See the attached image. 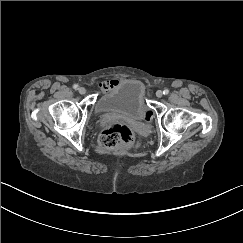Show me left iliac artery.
I'll use <instances>...</instances> for the list:
<instances>
[{
	"label": "left iliac artery",
	"instance_id": "left-iliac-artery-1",
	"mask_svg": "<svg viewBox=\"0 0 243 243\" xmlns=\"http://www.w3.org/2000/svg\"><path fill=\"white\" fill-rule=\"evenodd\" d=\"M169 93V90L168 89H165L164 91H163V94L164 95H167Z\"/></svg>",
	"mask_w": 243,
	"mask_h": 243
}]
</instances>
